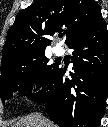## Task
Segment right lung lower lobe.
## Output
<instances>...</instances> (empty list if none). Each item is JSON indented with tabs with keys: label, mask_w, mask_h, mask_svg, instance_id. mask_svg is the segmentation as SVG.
Returning <instances> with one entry per match:
<instances>
[{
	"label": "right lung lower lobe",
	"mask_w": 108,
	"mask_h": 127,
	"mask_svg": "<svg viewBox=\"0 0 108 127\" xmlns=\"http://www.w3.org/2000/svg\"><path fill=\"white\" fill-rule=\"evenodd\" d=\"M72 79L57 66L44 88L29 98L45 103L49 118L60 127H97L108 91V31L103 18L76 35Z\"/></svg>",
	"instance_id": "right-lung-lower-lobe-1"
}]
</instances>
